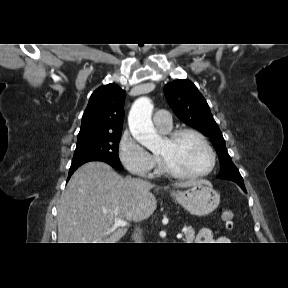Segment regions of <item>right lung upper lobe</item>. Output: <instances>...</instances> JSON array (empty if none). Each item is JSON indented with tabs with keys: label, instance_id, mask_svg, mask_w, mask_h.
Here are the masks:
<instances>
[{
	"label": "right lung upper lobe",
	"instance_id": "1",
	"mask_svg": "<svg viewBox=\"0 0 288 288\" xmlns=\"http://www.w3.org/2000/svg\"><path fill=\"white\" fill-rule=\"evenodd\" d=\"M125 91L111 83L96 89L82 117L78 140L122 131Z\"/></svg>",
	"mask_w": 288,
	"mask_h": 288
}]
</instances>
